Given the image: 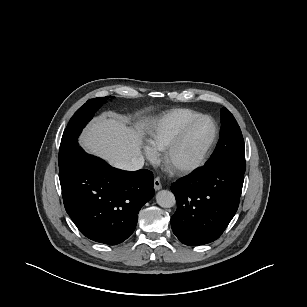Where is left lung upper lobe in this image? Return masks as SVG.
Instances as JSON below:
<instances>
[{
	"label": "left lung upper lobe",
	"mask_w": 307,
	"mask_h": 307,
	"mask_svg": "<svg viewBox=\"0 0 307 307\" xmlns=\"http://www.w3.org/2000/svg\"><path fill=\"white\" fill-rule=\"evenodd\" d=\"M221 120L220 139L204 167L225 165L245 173V149L240 127L225 107L221 109Z\"/></svg>",
	"instance_id": "left-lung-upper-lobe-1"
}]
</instances>
